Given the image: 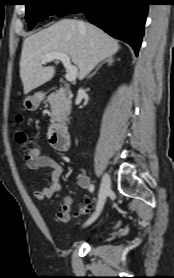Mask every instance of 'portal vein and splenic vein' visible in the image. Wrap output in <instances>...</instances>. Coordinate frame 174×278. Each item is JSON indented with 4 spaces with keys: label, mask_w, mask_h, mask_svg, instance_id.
<instances>
[{
    "label": "portal vein and splenic vein",
    "mask_w": 174,
    "mask_h": 278,
    "mask_svg": "<svg viewBox=\"0 0 174 278\" xmlns=\"http://www.w3.org/2000/svg\"><path fill=\"white\" fill-rule=\"evenodd\" d=\"M54 59L60 60L66 68V80L70 82L74 81L77 77L78 69L71 64L70 57L62 52H52L43 57L42 63L44 64Z\"/></svg>",
    "instance_id": "18ae733b"
}]
</instances>
